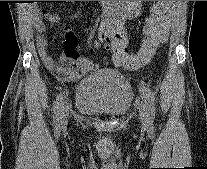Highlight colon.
Wrapping results in <instances>:
<instances>
[{"label": "colon", "instance_id": "1", "mask_svg": "<svg viewBox=\"0 0 207 169\" xmlns=\"http://www.w3.org/2000/svg\"><path fill=\"white\" fill-rule=\"evenodd\" d=\"M171 3L172 1H154L143 28L144 39L141 48L136 53H128L127 43L124 40L114 42L116 33L100 28L95 45L111 49L113 64L125 70L137 71L149 65L167 40Z\"/></svg>", "mask_w": 207, "mask_h": 169}]
</instances>
